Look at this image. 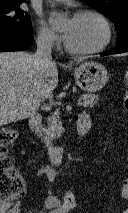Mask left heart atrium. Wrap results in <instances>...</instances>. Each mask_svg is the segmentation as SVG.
Returning a JSON list of instances; mask_svg holds the SVG:
<instances>
[{
  "label": "left heart atrium",
  "mask_w": 128,
  "mask_h": 213,
  "mask_svg": "<svg viewBox=\"0 0 128 213\" xmlns=\"http://www.w3.org/2000/svg\"><path fill=\"white\" fill-rule=\"evenodd\" d=\"M69 21H70V20H69ZM69 21H68V22H69ZM66 34H67V31H66V30H64V36H65V38H66Z\"/></svg>",
  "instance_id": "obj_1"
}]
</instances>
